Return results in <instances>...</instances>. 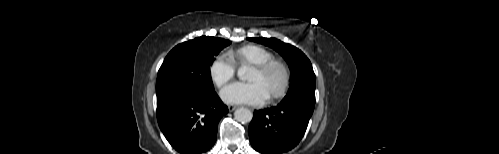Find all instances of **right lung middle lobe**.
Listing matches in <instances>:
<instances>
[{"instance_id": "dd1d6c3e", "label": "right lung middle lobe", "mask_w": 499, "mask_h": 154, "mask_svg": "<svg viewBox=\"0 0 499 154\" xmlns=\"http://www.w3.org/2000/svg\"><path fill=\"white\" fill-rule=\"evenodd\" d=\"M230 43L222 38L201 36L177 45L159 69L156 94L176 90L213 91L210 66L214 57Z\"/></svg>"}]
</instances>
